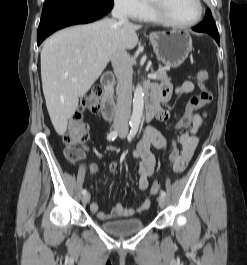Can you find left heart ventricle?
<instances>
[{
	"instance_id": "obj_1",
	"label": "left heart ventricle",
	"mask_w": 247,
	"mask_h": 265,
	"mask_svg": "<svg viewBox=\"0 0 247 265\" xmlns=\"http://www.w3.org/2000/svg\"><path fill=\"white\" fill-rule=\"evenodd\" d=\"M158 1V0H154ZM165 10L168 16L178 22L192 21L198 14L197 0H164Z\"/></svg>"
}]
</instances>
